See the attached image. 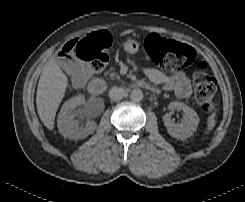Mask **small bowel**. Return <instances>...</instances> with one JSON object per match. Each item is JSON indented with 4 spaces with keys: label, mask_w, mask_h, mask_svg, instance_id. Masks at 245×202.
Wrapping results in <instances>:
<instances>
[{
    "label": "small bowel",
    "mask_w": 245,
    "mask_h": 202,
    "mask_svg": "<svg viewBox=\"0 0 245 202\" xmlns=\"http://www.w3.org/2000/svg\"><path fill=\"white\" fill-rule=\"evenodd\" d=\"M101 33L110 35V32L107 30ZM142 73L153 85L161 87L166 91L174 92L181 99L188 98L192 94L191 81L183 72L167 75L156 68L143 67Z\"/></svg>",
    "instance_id": "1"
}]
</instances>
